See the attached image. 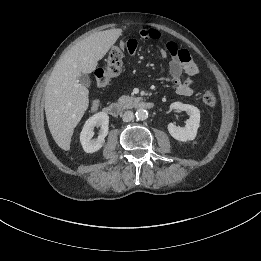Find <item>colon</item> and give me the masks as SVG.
Instances as JSON below:
<instances>
[{"label": "colon", "instance_id": "obj_1", "mask_svg": "<svg viewBox=\"0 0 261 261\" xmlns=\"http://www.w3.org/2000/svg\"><path fill=\"white\" fill-rule=\"evenodd\" d=\"M123 49L116 46L112 48L106 59V64L95 70L94 78L98 86H106L113 77L117 76L122 69ZM205 105L213 107L217 102L216 94L213 91H205L202 95Z\"/></svg>", "mask_w": 261, "mask_h": 261}]
</instances>
